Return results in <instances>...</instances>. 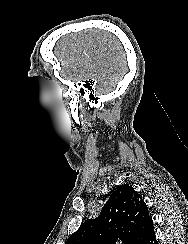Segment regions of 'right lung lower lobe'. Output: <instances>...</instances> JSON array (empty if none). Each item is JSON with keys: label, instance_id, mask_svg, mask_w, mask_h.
<instances>
[{"label": "right lung lower lobe", "instance_id": "obj_1", "mask_svg": "<svg viewBox=\"0 0 188 244\" xmlns=\"http://www.w3.org/2000/svg\"><path fill=\"white\" fill-rule=\"evenodd\" d=\"M141 244H156V237L154 234L153 227H151V229L148 231L147 235L145 236Z\"/></svg>", "mask_w": 188, "mask_h": 244}]
</instances>
